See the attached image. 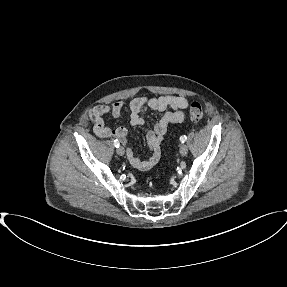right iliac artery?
I'll list each match as a JSON object with an SVG mask.
<instances>
[{
    "label": "right iliac artery",
    "mask_w": 287,
    "mask_h": 287,
    "mask_svg": "<svg viewBox=\"0 0 287 287\" xmlns=\"http://www.w3.org/2000/svg\"><path fill=\"white\" fill-rule=\"evenodd\" d=\"M119 145H120L119 141H118V140H114V146H115L116 148H118Z\"/></svg>",
    "instance_id": "82829eb1"
}]
</instances>
